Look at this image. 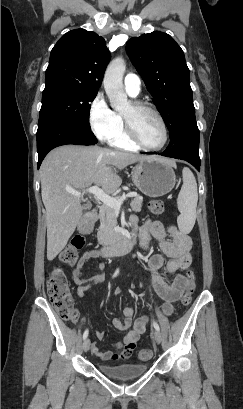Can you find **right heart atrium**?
<instances>
[{"instance_id":"right-heart-atrium-1","label":"right heart atrium","mask_w":243,"mask_h":409,"mask_svg":"<svg viewBox=\"0 0 243 409\" xmlns=\"http://www.w3.org/2000/svg\"><path fill=\"white\" fill-rule=\"evenodd\" d=\"M88 122L96 137L104 141H113L122 129L120 116L110 108L102 93L96 94L89 105Z\"/></svg>"}]
</instances>
